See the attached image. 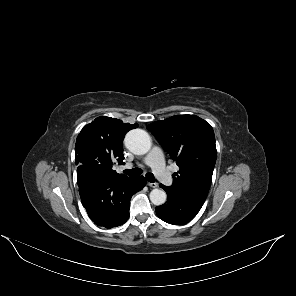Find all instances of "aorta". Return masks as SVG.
Listing matches in <instances>:
<instances>
[{"mask_svg": "<svg viewBox=\"0 0 296 296\" xmlns=\"http://www.w3.org/2000/svg\"><path fill=\"white\" fill-rule=\"evenodd\" d=\"M124 141L126 148L136 155L146 154L151 148V138L142 129L130 130ZM166 199L167 195L163 189L156 188L150 192V200L154 205H163Z\"/></svg>", "mask_w": 296, "mask_h": 296, "instance_id": "aorta-1", "label": "aorta"}]
</instances>
